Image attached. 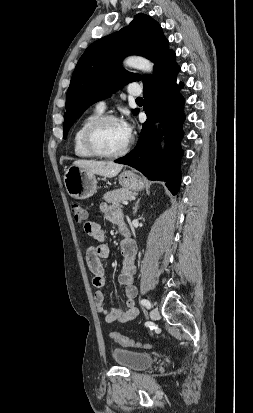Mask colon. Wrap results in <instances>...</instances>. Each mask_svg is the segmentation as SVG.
<instances>
[{
    "label": "colon",
    "mask_w": 253,
    "mask_h": 413,
    "mask_svg": "<svg viewBox=\"0 0 253 413\" xmlns=\"http://www.w3.org/2000/svg\"><path fill=\"white\" fill-rule=\"evenodd\" d=\"M70 210L71 213L75 219L76 222L81 223L83 221H85L86 219V213L85 210L83 209V207L78 204V203H72L70 206ZM110 337L112 340H114L115 342L123 345V346H131V347H141V348H147V349H151L153 348V346L151 344H147V343H141L138 341H135L129 337L123 336L120 333L117 332H112L110 334Z\"/></svg>",
    "instance_id": "5ec220e1"
}]
</instances>
